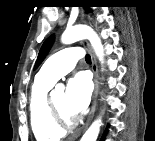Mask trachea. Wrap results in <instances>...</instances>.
<instances>
[{
  "instance_id": "1",
  "label": "trachea",
  "mask_w": 155,
  "mask_h": 141,
  "mask_svg": "<svg viewBox=\"0 0 155 141\" xmlns=\"http://www.w3.org/2000/svg\"><path fill=\"white\" fill-rule=\"evenodd\" d=\"M85 60H86V62L91 63V57H90V55H86Z\"/></svg>"
}]
</instances>
